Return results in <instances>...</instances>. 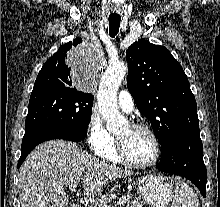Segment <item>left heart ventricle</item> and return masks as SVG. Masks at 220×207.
I'll use <instances>...</instances> for the list:
<instances>
[{"mask_svg": "<svg viewBox=\"0 0 220 207\" xmlns=\"http://www.w3.org/2000/svg\"><path fill=\"white\" fill-rule=\"evenodd\" d=\"M117 137L122 140L126 153L132 160L147 162L153 158L155 147L147 132L126 125L117 133Z\"/></svg>", "mask_w": 220, "mask_h": 207, "instance_id": "1", "label": "left heart ventricle"}]
</instances>
